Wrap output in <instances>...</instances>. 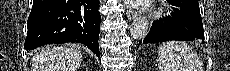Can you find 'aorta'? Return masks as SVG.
Returning <instances> with one entry per match:
<instances>
[{
	"instance_id": "aorta-1",
	"label": "aorta",
	"mask_w": 230,
	"mask_h": 71,
	"mask_svg": "<svg viewBox=\"0 0 230 71\" xmlns=\"http://www.w3.org/2000/svg\"><path fill=\"white\" fill-rule=\"evenodd\" d=\"M149 31V21L146 17L137 18L130 27V34L133 39L140 40L146 37Z\"/></svg>"
}]
</instances>
